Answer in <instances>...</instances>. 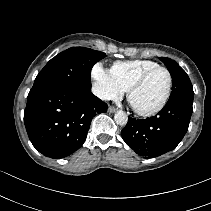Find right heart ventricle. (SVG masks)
<instances>
[{"mask_svg": "<svg viewBox=\"0 0 211 211\" xmlns=\"http://www.w3.org/2000/svg\"><path fill=\"white\" fill-rule=\"evenodd\" d=\"M156 66L159 64L151 60L117 61L110 71L118 85L127 91L141 74Z\"/></svg>", "mask_w": 211, "mask_h": 211, "instance_id": "right-heart-ventricle-1", "label": "right heart ventricle"}]
</instances>
